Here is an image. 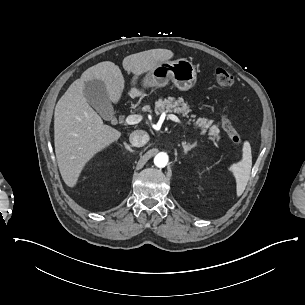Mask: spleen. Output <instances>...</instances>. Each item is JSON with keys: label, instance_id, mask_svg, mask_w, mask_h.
I'll list each match as a JSON object with an SVG mask.
<instances>
[{"label": "spleen", "instance_id": "3e777b00", "mask_svg": "<svg viewBox=\"0 0 305 305\" xmlns=\"http://www.w3.org/2000/svg\"><path fill=\"white\" fill-rule=\"evenodd\" d=\"M252 168V152L250 142L248 140H244L241 145V158L232 162L227 166L228 171L231 176L234 178L236 183V196L240 197L250 178ZM211 170H215V165L210 166Z\"/></svg>", "mask_w": 305, "mask_h": 305}]
</instances>
